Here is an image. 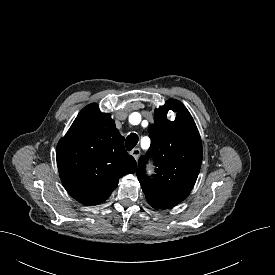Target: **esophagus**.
Returning a JSON list of instances; mask_svg holds the SVG:
<instances>
[{"label": "esophagus", "mask_w": 275, "mask_h": 275, "mask_svg": "<svg viewBox=\"0 0 275 275\" xmlns=\"http://www.w3.org/2000/svg\"><path fill=\"white\" fill-rule=\"evenodd\" d=\"M140 149L139 148H134L132 151H131V155L135 158V160H138L139 156H140Z\"/></svg>", "instance_id": "obj_1"}]
</instances>
